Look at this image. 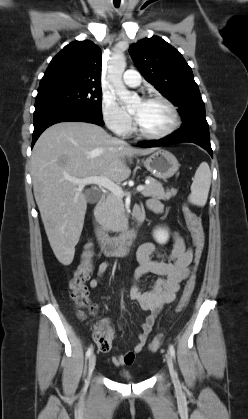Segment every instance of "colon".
<instances>
[{"label":"colon","mask_w":248,"mask_h":419,"mask_svg":"<svg viewBox=\"0 0 248 419\" xmlns=\"http://www.w3.org/2000/svg\"><path fill=\"white\" fill-rule=\"evenodd\" d=\"M184 218L190 232L195 248V262L197 263L204 248V233L200 218L187 206L183 208ZM93 246L88 243L82 253V260L69 283L70 296L78 307L80 318H87L96 312V306L90 301L86 283L92 271ZM196 277L194 274L186 280L182 296L177 306V312L182 311L189 303L195 289ZM113 331L105 324H97L93 331V340L97 345H105L112 340ZM164 340L163 334L156 336L149 344V350L156 352Z\"/></svg>","instance_id":"1"}]
</instances>
